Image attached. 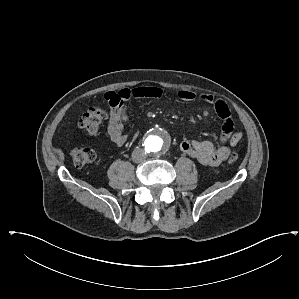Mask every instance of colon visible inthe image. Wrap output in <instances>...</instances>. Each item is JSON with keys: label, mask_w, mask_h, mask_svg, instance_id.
<instances>
[{"label": "colon", "mask_w": 299, "mask_h": 299, "mask_svg": "<svg viewBox=\"0 0 299 299\" xmlns=\"http://www.w3.org/2000/svg\"><path fill=\"white\" fill-rule=\"evenodd\" d=\"M106 113L101 108H91L79 120V127L89 135H97L100 132V124L105 118ZM71 157L77 167H83L95 160V151L89 146H76L71 149ZM229 162L234 163L238 160L236 153L229 155Z\"/></svg>", "instance_id": "1"}]
</instances>
